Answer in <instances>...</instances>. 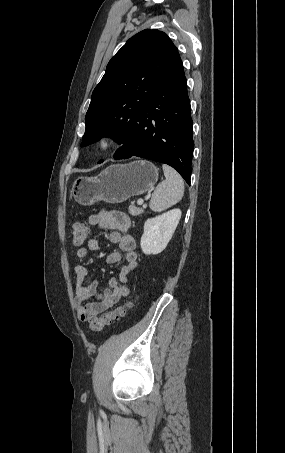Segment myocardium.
Segmentation results:
<instances>
[{
    "instance_id": "obj_1",
    "label": "myocardium",
    "mask_w": 285,
    "mask_h": 453,
    "mask_svg": "<svg viewBox=\"0 0 285 453\" xmlns=\"http://www.w3.org/2000/svg\"><path fill=\"white\" fill-rule=\"evenodd\" d=\"M119 144L118 135L112 131L102 133L94 142L97 151L108 152Z\"/></svg>"
}]
</instances>
